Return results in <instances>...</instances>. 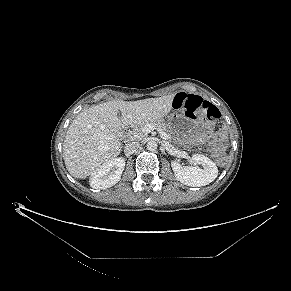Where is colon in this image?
<instances>
[{"label":"colon","mask_w":291,"mask_h":291,"mask_svg":"<svg viewBox=\"0 0 291 291\" xmlns=\"http://www.w3.org/2000/svg\"><path fill=\"white\" fill-rule=\"evenodd\" d=\"M173 106L179 112L194 117L198 114L206 115L211 118L220 116L219 109L207 100L199 96L185 95L179 93L173 101ZM209 151L216 156L217 163L224 165L227 162L225 147L222 141L215 139L208 145Z\"/></svg>","instance_id":"1"}]
</instances>
